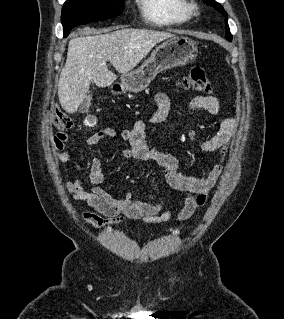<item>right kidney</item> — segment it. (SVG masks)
I'll return each instance as SVG.
<instances>
[{"label": "right kidney", "instance_id": "ca27d5eb", "mask_svg": "<svg viewBox=\"0 0 284 319\" xmlns=\"http://www.w3.org/2000/svg\"><path fill=\"white\" fill-rule=\"evenodd\" d=\"M84 123L86 126H94L96 124V119L89 118V119H86Z\"/></svg>", "mask_w": 284, "mask_h": 319}]
</instances>
